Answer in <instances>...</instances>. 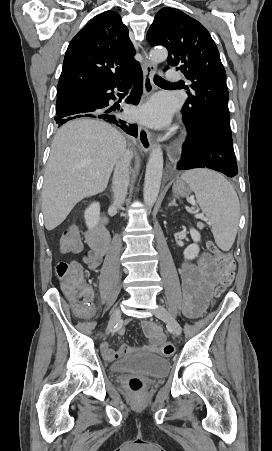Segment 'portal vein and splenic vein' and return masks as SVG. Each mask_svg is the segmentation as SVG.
<instances>
[{"mask_svg": "<svg viewBox=\"0 0 272 451\" xmlns=\"http://www.w3.org/2000/svg\"><path fill=\"white\" fill-rule=\"evenodd\" d=\"M196 214V212H195ZM203 214H196L195 218H202Z\"/></svg>", "mask_w": 272, "mask_h": 451, "instance_id": "portal-vein-and-splenic-vein-1", "label": "portal vein and splenic vein"}]
</instances>
